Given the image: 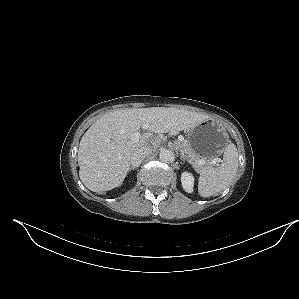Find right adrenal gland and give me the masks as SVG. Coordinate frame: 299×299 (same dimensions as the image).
Returning a JSON list of instances; mask_svg holds the SVG:
<instances>
[{
	"instance_id": "2a0ac1e0",
	"label": "right adrenal gland",
	"mask_w": 299,
	"mask_h": 299,
	"mask_svg": "<svg viewBox=\"0 0 299 299\" xmlns=\"http://www.w3.org/2000/svg\"><path fill=\"white\" fill-rule=\"evenodd\" d=\"M136 168H137V167H133V166H132V167L129 168V171L134 170V169H136Z\"/></svg>"
}]
</instances>
